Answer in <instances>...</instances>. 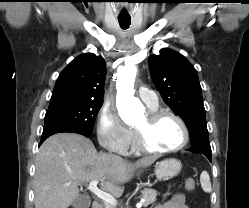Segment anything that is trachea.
Wrapping results in <instances>:
<instances>
[{
  "label": "trachea",
  "instance_id": "trachea-1",
  "mask_svg": "<svg viewBox=\"0 0 249 208\" xmlns=\"http://www.w3.org/2000/svg\"><path fill=\"white\" fill-rule=\"evenodd\" d=\"M119 24L121 26L122 29H127L129 28L130 24H131V20L130 19H118Z\"/></svg>",
  "mask_w": 249,
  "mask_h": 208
}]
</instances>
